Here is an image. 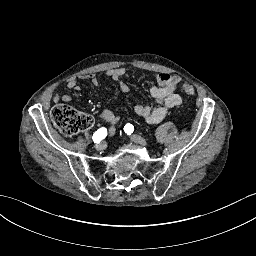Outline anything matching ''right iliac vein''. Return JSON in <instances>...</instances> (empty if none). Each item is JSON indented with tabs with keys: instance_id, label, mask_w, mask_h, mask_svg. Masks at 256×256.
<instances>
[{
	"instance_id": "obj_1",
	"label": "right iliac vein",
	"mask_w": 256,
	"mask_h": 256,
	"mask_svg": "<svg viewBox=\"0 0 256 256\" xmlns=\"http://www.w3.org/2000/svg\"><path fill=\"white\" fill-rule=\"evenodd\" d=\"M94 147L97 151H103L105 149V143L104 142L98 143Z\"/></svg>"
}]
</instances>
